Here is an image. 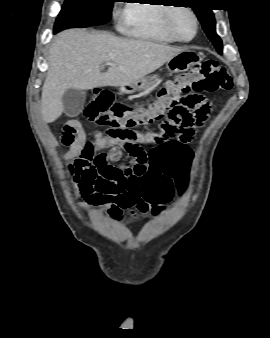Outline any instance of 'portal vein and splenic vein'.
<instances>
[{"mask_svg": "<svg viewBox=\"0 0 270 338\" xmlns=\"http://www.w3.org/2000/svg\"><path fill=\"white\" fill-rule=\"evenodd\" d=\"M106 65L113 66L114 64L111 62H106Z\"/></svg>", "mask_w": 270, "mask_h": 338, "instance_id": "portal-vein-and-splenic-vein-1", "label": "portal vein and splenic vein"}]
</instances>
